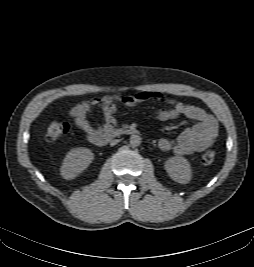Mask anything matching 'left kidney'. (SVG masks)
<instances>
[{
    "label": "left kidney",
    "instance_id": "1",
    "mask_svg": "<svg viewBox=\"0 0 254 267\" xmlns=\"http://www.w3.org/2000/svg\"><path fill=\"white\" fill-rule=\"evenodd\" d=\"M165 170L172 180L187 184L192 178V171L189 162L180 156H175L165 162Z\"/></svg>",
    "mask_w": 254,
    "mask_h": 267
}]
</instances>
